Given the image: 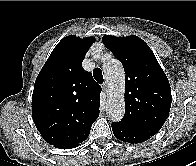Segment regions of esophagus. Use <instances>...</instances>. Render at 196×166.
I'll return each instance as SVG.
<instances>
[{"mask_svg": "<svg viewBox=\"0 0 196 166\" xmlns=\"http://www.w3.org/2000/svg\"><path fill=\"white\" fill-rule=\"evenodd\" d=\"M102 89H103L104 91H107V84H106V83L102 84Z\"/></svg>", "mask_w": 196, "mask_h": 166, "instance_id": "34e87169", "label": "esophagus"}]
</instances>
